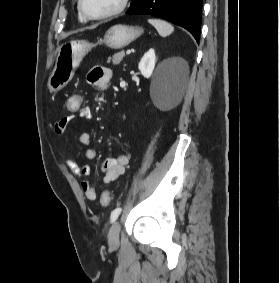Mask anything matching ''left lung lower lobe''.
Segmentation results:
<instances>
[{
	"label": "left lung lower lobe",
	"instance_id": "left-lung-lower-lobe-1",
	"mask_svg": "<svg viewBox=\"0 0 280 283\" xmlns=\"http://www.w3.org/2000/svg\"><path fill=\"white\" fill-rule=\"evenodd\" d=\"M203 0H137L127 14H147L188 30L199 42Z\"/></svg>",
	"mask_w": 280,
	"mask_h": 283
}]
</instances>
